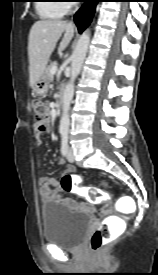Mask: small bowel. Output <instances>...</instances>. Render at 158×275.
<instances>
[{
  "label": "small bowel",
  "instance_id": "1",
  "mask_svg": "<svg viewBox=\"0 0 158 275\" xmlns=\"http://www.w3.org/2000/svg\"><path fill=\"white\" fill-rule=\"evenodd\" d=\"M49 130L50 125H48V128L43 132H40L35 128V136L37 138L38 144L42 143L40 139L41 135L44 132H48ZM64 162V159L59 160V164H64ZM72 170V167H68L66 169V172L69 173ZM38 184L40 188V197L44 204L60 201L72 210L80 211L87 214H92L95 212L94 202L92 201L88 200L85 202H79L71 197H63V190L61 188L60 182L52 177L41 176L38 180ZM51 187H53V189H51Z\"/></svg>",
  "mask_w": 158,
  "mask_h": 275
}]
</instances>
